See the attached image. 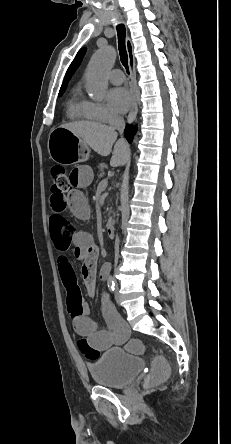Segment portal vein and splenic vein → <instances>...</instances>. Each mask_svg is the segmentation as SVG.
<instances>
[{
    "instance_id": "portal-vein-and-splenic-vein-1",
    "label": "portal vein and splenic vein",
    "mask_w": 231,
    "mask_h": 444,
    "mask_svg": "<svg viewBox=\"0 0 231 444\" xmlns=\"http://www.w3.org/2000/svg\"><path fill=\"white\" fill-rule=\"evenodd\" d=\"M107 185H108V178L101 180L99 183V187H102V188H106Z\"/></svg>"
}]
</instances>
